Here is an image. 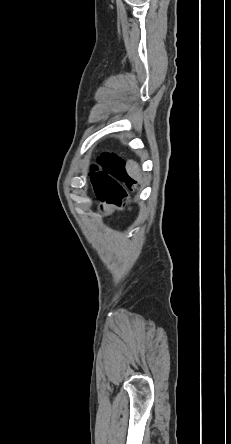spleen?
I'll list each match as a JSON object with an SVG mask.
<instances>
[{"instance_id": "3e777b00", "label": "spleen", "mask_w": 231, "mask_h": 444, "mask_svg": "<svg viewBox=\"0 0 231 444\" xmlns=\"http://www.w3.org/2000/svg\"><path fill=\"white\" fill-rule=\"evenodd\" d=\"M126 171L129 174V176L137 181H141L142 174L140 172L139 165L137 162L133 160H129L126 164Z\"/></svg>"}]
</instances>
